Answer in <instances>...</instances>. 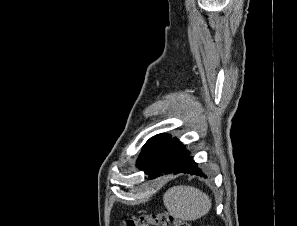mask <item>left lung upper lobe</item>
Wrapping results in <instances>:
<instances>
[{"label": "left lung upper lobe", "mask_w": 297, "mask_h": 226, "mask_svg": "<svg viewBox=\"0 0 297 226\" xmlns=\"http://www.w3.org/2000/svg\"><path fill=\"white\" fill-rule=\"evenodd\" d=\"M171 141L172 136L169 134H158L150 138L142 148L137 167L149 175Z\"/></svg>", "instance_id": "1"}]
</instances>
